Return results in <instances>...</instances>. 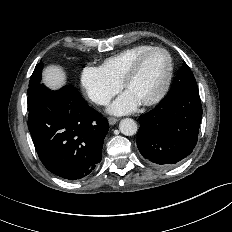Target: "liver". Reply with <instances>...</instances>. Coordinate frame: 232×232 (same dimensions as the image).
<instances>
[{
	"label": "liver",
	"mask_w": 232,
	"mask_h": 232,
	"mask_svg": "<svg viewBox=\"0 0 232 232\" xmlns=\"http://www.w3.org/2000/svg\"><path fill=\"white\" fill-rule=\"evenodd\" d=\"M67 75L60 65H50L43 72V82L51 89H58L66 83Z\"/></svg>",
	"instance_id": "liver-1"
}]
</instances>
